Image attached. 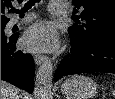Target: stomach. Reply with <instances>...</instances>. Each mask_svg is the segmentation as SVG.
Segmentation results:
<instances>
[{
	"mask_svg": "<svg viewBox=\"0 0 115 99\" xmlns=\"http://www.w3.org/2000/svg\"><path fill=\"white\" fill-rule=\"evenodd\" d=\"M61 91L67 99H89L96 92V84L87 76L75 75L64 81Z\"/></svg>",
	"mask_w": 115,
	"mask_h": 99,
	"instance_id": "stomach-1",
	"label": "stomach"
}]
</instances>
